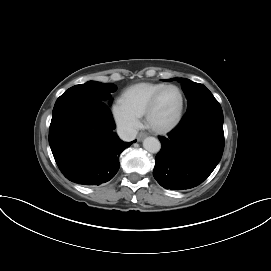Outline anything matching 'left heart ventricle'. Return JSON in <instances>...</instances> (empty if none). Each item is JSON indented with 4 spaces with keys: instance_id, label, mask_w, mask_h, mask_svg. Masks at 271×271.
Wrapping results in <instances>:
<instances>
[{
    "instance_id": "b2bd125f",
    "label": "left heart ventricle",
    "mask_w": 271,
    "mask_h": 271,
    "mask_svg": "<svg viewBox=\"0 0 271 271\" xmlns=\"http://www.w3.org/2000/svg\"><path fill=\"white\" fill-rule=\"evenodd\" d=\"M180 106V95L176 89L166 90L159 99L157 107L152 115L155 125L164 126L170 123L176 116Z\"/></svg>"
}]
</instances>
